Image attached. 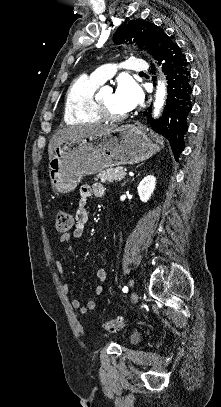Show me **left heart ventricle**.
<instances>
[{"label":"left heart ventricle","instance_id":"left-heart-ventricle-1","mask_svg":"<svg viewBox=\"0 0 221 407\" xmlns=\"http://www.w3.org/2000/svg\"><path fill=\"white\" fill-rule=\"evenodd\" d=\"M113 113L124 114L128 111L124 109L118 101L115 91H110L103 95L100 99Z\"/></svg>","mask_w":221,"mask_h":407}]
</instances>
